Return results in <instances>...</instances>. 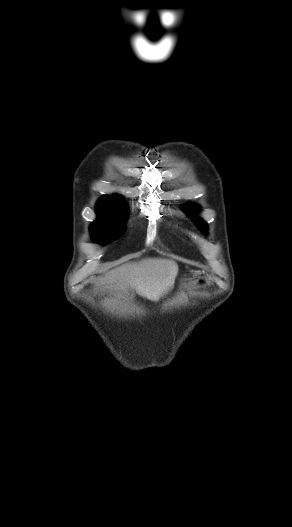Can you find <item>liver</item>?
<instances>
[{
  "instance_id": "1",
  "label": "liver",
  "mask_w": 292,
  "mask_h": 527,
  "mask_svg": "<svg viewBox=\"0 0 292 527\" xmlns=\"http://www.w3.org/2000/svg\"><path fill=\"white\" fill-rule=\"evenodd\" d=\"M177 273L178 265L173 260L145 258L111 270L102 282L122 292L135 290L140 296L157 302L173 288Z\"/></svg>"
}]
</instances>
